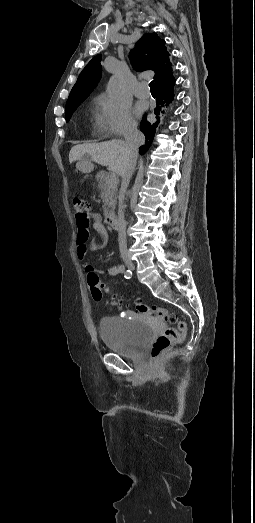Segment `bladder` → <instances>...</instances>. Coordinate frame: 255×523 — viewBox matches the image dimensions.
<instances>
[{
    "label": "bladder",
    "mask_w": 255,
    "mask_h": 523,
    "mask_svg": "<svg viewBox=\"0 0 255 523\" xmlns=\"http://www.w3.org/2000/svg\"><path fill=\"white\" fill-rule=\"evenodd\" d=\"M132 320L134 323L126 327L116 319H101L100 335L105 345L123 355L138 354L149 340L152 328L142 320Z\"/></svg>",
    "instance_id": "31cf9c89"
}]
</instances>
